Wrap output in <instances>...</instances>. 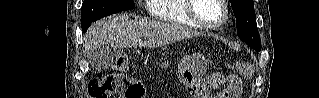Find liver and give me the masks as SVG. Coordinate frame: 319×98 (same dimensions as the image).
<instances>
[{
  "mask_svg": "<svg viewBox=\"0 0 319 98\" xmlns=\"http://www.w3.org/2000/svg\"><path fill=\"white\" fill-rule=\"evenodd\" d=\"M199 35L181 25L132 19L130 15L120 14L92 24L84 37V43L87 58L91 61L92 52L101 46L115 49L145 46L156 48ZM141 37H147V42H143Z\"/></svg>",
  "mask_w": 319,
  "mask_h": 98,
  "instance_id": "obj_1",
  "label": "liver"
}]
</instances>
